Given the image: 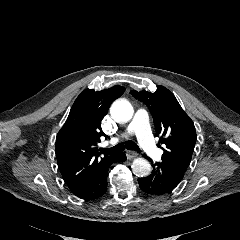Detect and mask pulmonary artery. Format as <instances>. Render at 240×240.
I'll return each instance as SVG.
<instances>
[{
  "mask_svg": "<svg viewBox=\"0 0 240 240\" xmlns=\"http://www.w3.org/2000/svg\"><path fill=\"white\" fill-rule=\"evenodd\" d=\"M125 134H135L144 151L152 158L159 159L161 150L156 146L148 125V113L138 109L126 128Z\"/></svg>",
  "mask_w": 240,
  "mask_h": 240,
  "instance_id": "e3ab8cb5",
  "label": "pulmonary artery"
}]
</instances>
